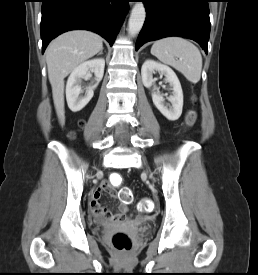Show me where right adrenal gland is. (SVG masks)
<instances>
[{
    "label": "right adrenal gland",
    "instance_id": "1",
    "mask_svg": "<svg viewBox=\"0 0 258 275\" xmlns=\"http://www.w3.org/2000/svg\"><path fill=\"white\" fill-rule=\"evenodd\" d=\"M103 54V48L101 49V51L98 53V55Z\"/></svg>",
    "mask_w": 258,
    "mask_h": 275
}]
</instances>
